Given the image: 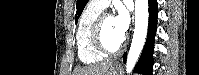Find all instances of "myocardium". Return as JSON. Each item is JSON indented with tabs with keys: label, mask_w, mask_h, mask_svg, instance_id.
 <instances>
[{
	"label": "myocardium",
	"mask_w": 199,
	"mask_h": 75,
	"mask_svg": "<svg viewBox=\"0 0 199 75\" xmlns=\"http://www.w3.org/2000/svg\"><path fill=\"white\" fill-rule=\"evenodd\" d=\"M107 16L109 15L106 13H101L97 17L91 31V41L93 47L98 53H100L103 56L114 55L119 53L124 48L126 43V39L123 38L122 42L116 48L110 49L105 46L102 39V27L104 20Z\"/></svg>",
	"instance_id": "1"
}]
</instances>
